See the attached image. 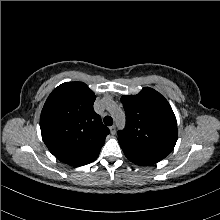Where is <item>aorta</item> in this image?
I'll use <instances>...</instances> for the list:
<instances>
[{"mask_svg": "<svg viewBox=\"0 0 220 220\" xmlns=\"http://www.w3.org/2000/svg\"><path fill=\"white\" fill-rule=\"evenodd\" d=\"M115 117H116L118 123L122 124L124 122V114L122 111H119L118 113H116Z\"/></svg>", "mask_w": 220, "mask_h": 220, "instance_id": "762f6f07", "label": "aorta"}]
</instances>
